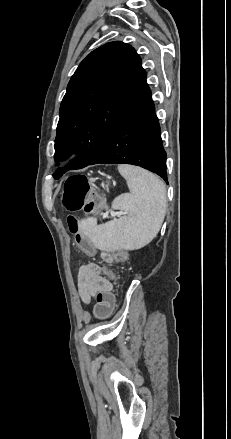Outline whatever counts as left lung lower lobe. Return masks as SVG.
I'll use <instances>...</instances> for the list:
<instances>
[{"label": "left lung lower lobe", "instance_id": "0a47b994", "mask_svg": "<svg viewBox=\"0 0 231 439\" xmlns=\"http://www.w3.org/2000/svg\"><path fill=\"white\" fill-rule=\"evenodd\" d=\"M102 163L137 165L167 182L166 152L146 81L88 165Z\"/></svg>", "mask_w": 231, "mask_h": 439}]
</instances>
